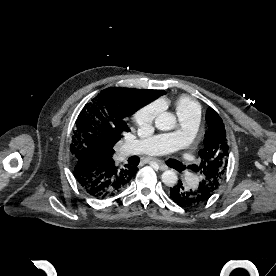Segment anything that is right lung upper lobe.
Here are the masks:
<instances>
[{"mask_svg":"<svg viewBox=\"0 0 276 276\" xmlns=\"http://www.w3.org/2000/svg\"><path fill=\"white\" fill-rule=\"evenodd\" d=\"M107 92L114 93L118 95L124 101L129 102L131 105L136 107L135 111L144 104L151 102L152 100L164 95L166 92L164 90H144V89H132V88H108L105 89ZM114 146V145H113ZM113 146H109L103 151L99 152L95 156L102 161H114Z\"/></svg>","mask_w":276,"mask_h":276,"instance_id":"1","label":"right lung upper lobe"}]
</instances>
